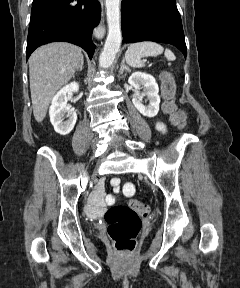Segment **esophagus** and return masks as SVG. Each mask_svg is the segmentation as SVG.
<instances>
[{"instance_id":"obj_1","label":"esophagus","mask_w":240,"mask_h":288,"mask_svg":"<svg viewBox=\"0 0 240 288\" xmlns=\"http://www.w3.org/2000/svg\"><path fill=\"white\" fill-rule=\"evenodd\" d=\"M100 3L103 5V0H100Z\"/></svg>"}]
</instances>
